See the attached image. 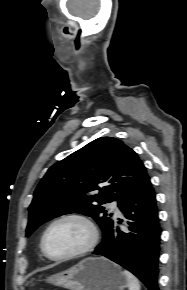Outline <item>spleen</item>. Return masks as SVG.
<instances>
[{"mask_svg":"<svg viewBox=\"0 0 187 290\" xmlns=\"http://www.w3.org/2000/svg\"><path fill=\"white\" fill-rule=\"evenodd\" d=\"M124 274L128 281L129 290H140V283L138 279L129 271L124 270Z\"/></svg>","mask_w":187,"mask_h":290,"instance_id":"3e777b00","label":"spleen"}]
</instances>
